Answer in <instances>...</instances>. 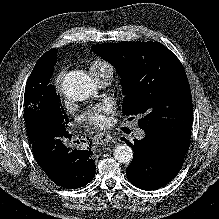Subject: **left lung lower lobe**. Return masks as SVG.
I'll list each match as a JSON object with an SVG mask.
<instances>
[{"label":"left lung lower lobe","mask_w":219,"mask_h":219,"mask_svg":"<svg viewBox=\"0 0 219 219\" xmlns=\"http://www.w3.org/2000/svg\"><path fill=\"white\" fill-rule=\"evenodd\" d=\"M145 133V138L134 140V145L122 138L134 150L127 177L140 189L155 190L169 183L182 168L191 132L173 136Z\"/></svg>","instance_id":"left-lung-lower-lobe-1"}]
</instances>
